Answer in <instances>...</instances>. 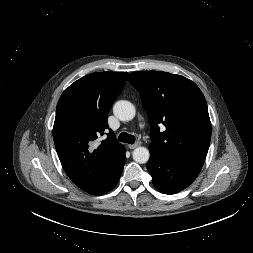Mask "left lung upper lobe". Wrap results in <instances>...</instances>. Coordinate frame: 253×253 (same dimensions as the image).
<instances>
[{
    "mask_svg": "<svg viewBox=\"0 0 253 253\" xmlns=\"http://www.w3.org/2000/svg\"><path fill=\"white\" fill-rule=\"evenodd\" d=\"M128 81L139 92L149 118V148L173 163L200 172L209 149L211 122L198 86L163 71L133 72ZM161 125L165 126L163 132Z\"/></svg>",
    "mask_w": 253,
    "mask_h": 253,
    "instance_id": "5c2ea615",
    "label": "left lung upper lobe"
}]
</instances>
